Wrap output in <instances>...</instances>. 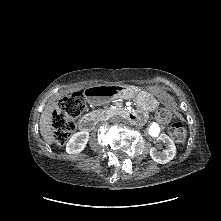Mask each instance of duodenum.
<instances>
[{"mask_svg": "<svg viewBox=\"0 0 221 221\" xmlns=\"http://www.w3.org/2000/svg\"><path fill=\"white\" fill-rule=\"evenodd\" d=\"M125 94V89L119 86H105L97 87L90 86L85 91V98L89 102L93 103H108L112 101L116 96ZM104 110L98 109L91 114L84 116L79 121L80 129L84 132H89L92 129L93 123L96 117L101 114ZM115 115L120 116L123 119H128L133 123H140L142 121V115L138 111L125 110L121 107H117L114 110Z\"/></svg>", "mask_w": 221, "mask_h": 221, "instance_id": "obj_1", "label": "duodenum"}]
</instances>
